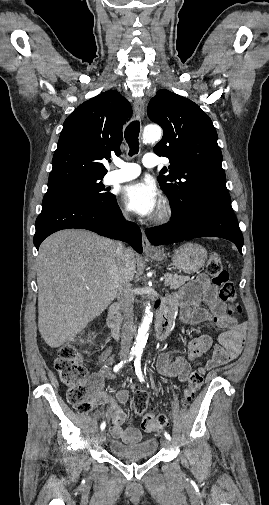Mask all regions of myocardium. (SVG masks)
Returning a JSON list of instances; mask_svg holds the SVG:
<instances>
[{
  "label": "myocardium",
  "instance_id": "f54148a6",
  "mask_svg": "<svg viewBox=\"0 0 269 505\" xmlns=\"http://www.w3.org/2000/svg\"><path fill=\"white\" fill-rule=\"evenodd\" d=\"M173 215V208L168 201H164L155 217V222L164 223L171 219Z\"/></svg>",
  "mask_w": 269,
  "mask_h": 505
}]
</instances>
